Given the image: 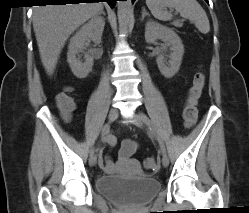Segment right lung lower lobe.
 <instances>
[{
	"instance_id": "98d812e1",
	"label": "right lung lower lobe",
	"mask_w": 249,
	"mask_h": 213,
	"mask_svg": "<svg viewBox=\"0 0 249 213\" xmlns=\"http://www.w3.org/2000/svg\"><path fill=\"white\" fill-rule=\"evenodd\" d=\"M48 3H54V4H66V3H78L85 0H44ZM88 1H105L107 2L112 8L115 6L116 0H88ZM44 2V3H45ZM93 3V2H92Z\"/></svg>"
}]
</instances>
